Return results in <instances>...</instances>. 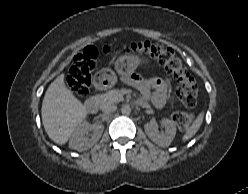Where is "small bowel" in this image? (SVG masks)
I'll return each instance as SVG.
<instances>
[{
	"instance_id": "small-bowel-1",
	"label": "small bowel",
	"mask_w": 248,
	"mask_h": 194,
	"mask_svg": "<svg viewBox=\"0 0 248 194\" xmlns=\"http://www.w3.org/2000/svg\"><path fill=\"white\" fill-rule=\"evenodd\" d=\"M129 82L141 93V103L149 101L159 108L166 104L169 87L164 79L134 75Z\"/></svg>"
}]
</instances>
